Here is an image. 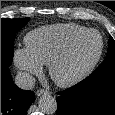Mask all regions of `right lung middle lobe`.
Instances as JSON below:
<instances>
[{"label": "right lung middle lobe", "instance_id": "1", "mask_svg": "<svg viewBox=\"0 0 115 115\" xmlns=\"http://www.w3.org/2000/svg\"><path fill=\"white\" fill-rule=\"evenodd\" d=\"M28 21L29 18L1 19V65L11 64L15 32L24 27Z\"/></svg>", "mask_w": 115, "mask_h": 115}]
</instances>
